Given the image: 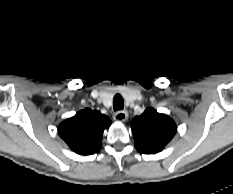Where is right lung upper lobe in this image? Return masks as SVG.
Listing matches in <instances>:
<instances>
[{
  "instance_id": "1",
  "label": "right lung upper lobe",
  "mask_w": 233,
  "mask_h": 194,
  "mask_svg": "<svg viewBox=\"0 0 233 194\" xmlns=\"http://www.w3.org/2000/svg\"><path fill=\"white\" fill-rule=\"evenodd\" d=\"M111 120L99 111L84 109L65 120L58 127V133L77 154L89 155L98 152L104 129Z\"/></svg>"
}]
</instances>
